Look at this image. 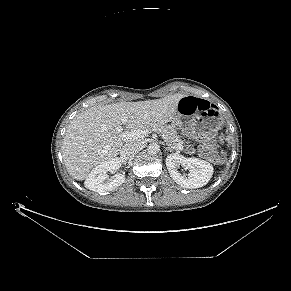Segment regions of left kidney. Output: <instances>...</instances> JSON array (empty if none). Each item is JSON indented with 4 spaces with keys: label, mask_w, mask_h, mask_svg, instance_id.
I'll return each mask as SVG.
<instances>
[{
    "label": "left kidney",
    "mask_w": 291,
    "mask_h": 291,
    "mask_svg": "<svg viewBox=\"0 0 291 291\" xmlns=\"http://www.w3.org/2000/svg\"><path fill=\"white\" fill-rule=\"evenodd\" d=\"M166 166L171 178L183 188H200L206 185L213 175V166L199 158H186L179 153H172L166 158ZM188 170L181 174L179 168Z\"/></svg>",
    "instance_id": "left-kidney-1"
}]
</instances>
